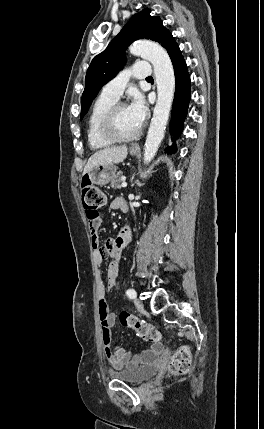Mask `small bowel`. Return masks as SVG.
Segmentation results:
<instances>
[{"instance_id":"1","label":"small bowel","mask_w":264,"mask_h":429,"mask_svg":"<svg viewBox=\"0 0 264 429\" xmlns=\"http://www.w3.org/2000/svg\"><path fill=\"white\" fill-rule=\"evenodd\" d=\"M124 202L125 200L123 198L117 197L111 202L110 207L112 209H120L121 204ZM101 222L102 218L100 217L95 221H89V231L93 247V257L98 266L96 278L104 351L108 360L116 370L132 369L142 364L154 362L163 351V347L160 343H152L146 350L139 354L132 355L123 348L112 344L111 330L115 326L116 316L108 308L105 298V289H112L116 285L119 275L121 252L122 249L131 242L132 231L129 227H124L119 231L116 237L106 239L103 246H100L99 228ZM106 257H111L112 261L107 268L105 284L100 264Z\"/></svg>"}]
</instances>
